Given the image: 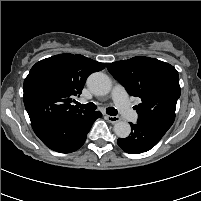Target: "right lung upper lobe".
Returning a JSON list of instances; mask_svg holds the SVG:
<instances>
[{
	"mask_svg": "<svg viewBox=\"0 0 201 201\" xmlns=\"http://www.w3.org/2000/svg\"><path fill=\"white\" fill-rule=\"evenodd\" d=\"M105 68L103 63L82 55H55L36 63L24 80L23 100L31 124L71 121L89 111L72 105L87 77Z\"/></svg>",
	"mask_w": 201,
	"mask_h": 201,
	"instance_id": "1",
	"label": "right lung upper lobe"
}]
</instances>
